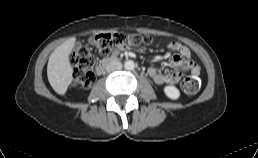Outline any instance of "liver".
<instances>
[{"label": "liver", "mask_w": 258, "mask_h": 158, "mask_svg": "<svg viewBox=\"0 0 258 158\" xmlns=\"http://www.w3.org/2000/svg\"><path fill=\"white\" fill-rule=\"evenodd\" d=\"M76 38H70L58 46L49 57L47 77L51 87L58 94H65L73 79V69L69 55L75 46Z\"/></svg>", "instance_id": "liver-1"}]
</instances>
